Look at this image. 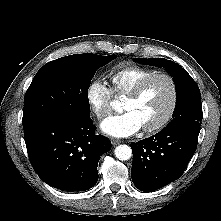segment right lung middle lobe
<instances>
[{
    "mask_svg": "<svg viewBox=\"0 0 221 221\" xmlns=\"http://www.w3.org/2000/svg\"><path fill=\"white\" fill-rule=\"evenodd\" d=\"M115 58L116 55L75 54L41 67L25 94L23 129L55 116L90 119V82L99 67Z\"/></svg>",
    "mask_w": 221,
    "mask_h": 221,
    "instance_id": "dd1d6c3e",
    "label": "right lung middle lobe"
}]
</instances>
